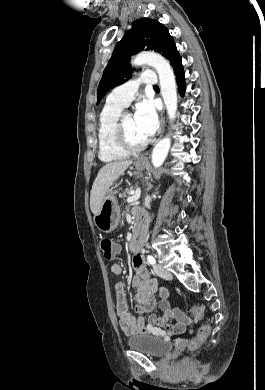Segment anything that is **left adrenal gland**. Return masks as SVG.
Segmentation results:
<instances>
[{"label":"left adrenal gland","mask_w":265,"mask_h":390,"mask_svg":"<svg viewBox=\"0 0 265 390\" xmlns=\"http://www.w3.org/2000/svg\"><path fill=\"white\" fill-rule=\"evenodd\" d=\"M152 187H153L152 184H149L148 190H151Z\"/></svg>","instance_id":"a2214340"}]
</instances>
